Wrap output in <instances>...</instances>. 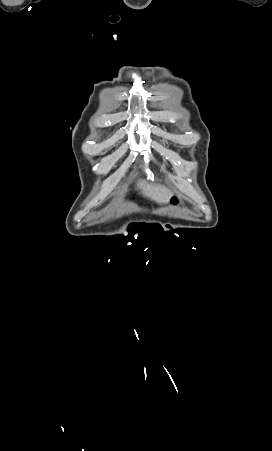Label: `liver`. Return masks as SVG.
Returning a JSON list of instances; mask_svg holds the SVG:
<instances>
[{
    "mask_svg": "<svg viewBox=\"0 0 272 451\" xmlns=\"http://www.w3.org/2000/svg\"><path fill=\"white\" fill-rule=\"evenodd\" d=\"M137 188L142 190L143 196L146 198H151L154 202L158 204H168L173 192L168 190L166 186H161V184H148L145 180H138Z\"/></svg>",
    "mask_w": 272,
    "mask_h": 451,
    "instance_id": "6515ba94",
    "label": "liver"
}]
</instances>
